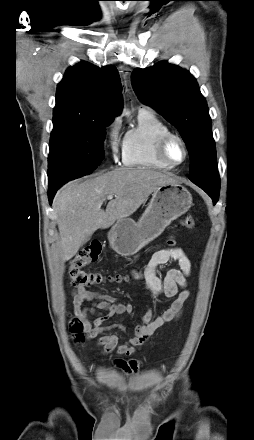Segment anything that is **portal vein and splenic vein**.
<instances>
[{
  "label": "portal vein and splenic vein",
  "mask_w": 254,
  "mask_h": 440,
  "mask_svg": "<svg viewBox=\"0 0 254 440\" xmlns=\"http://www.w3.org/2000/svg\"><path fill=\"white\" fill-rule=\"evenodd\" d=\"M115 197H116V196H115ZM107 199H108V200L113 199V195H109V196H107Z\"/></svg>",
  "instance_id": "18ae733b"
}]
</instances>
